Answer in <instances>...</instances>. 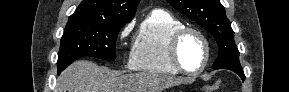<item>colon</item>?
<instances>
[{"instance_id":"obj_1","label":"colon","mask_w":289,"mask_h":92,"mask_svg":"<svg viewBox=\"0 0 289 92\" xmlns=\"http://www.w3.org/2000/svg\"><path fill=\"white\" fill-rule=\"evenodd\" d=\"M219 87H220V83L216 82L214 84L207 86L204 91L205 92L217 91Z\"/></svg>"}]
</instances>
